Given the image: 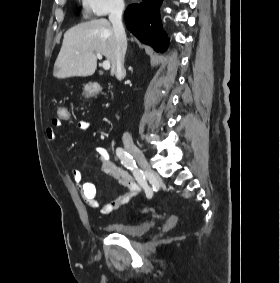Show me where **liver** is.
Returning <instances> with one entry per match:
<instances>
[{"instance_id":"liver-1","label":"liver","mask_w":280,"mask_h":283,"mask_svg":"<svg viewBox=\"0 0 280 283\" xmlns=\"http://www.w3.org/2000/svg\"><path fill=\"white\" fill-rule=\"evenodd\" d=\"M97 52L111 63L113 76L116 73L117 40L113 26L104 18L81 23L66 31L55 61L54 77L93 75L97 67Z\"/></svg>"}]
</instances>
